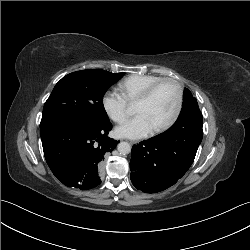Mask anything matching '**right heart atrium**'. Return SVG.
<instances>
[{"instance_id": "right-heart-atrium-1", "label": "right heart atrium", "mask_w": 250, "mask_h": 250, "mask_svg": "<svg viewBox=\"0 0 250 250\" xmlns=\"http://www.w3.org/2000/svg\"><path fill=\"white\" fill-rule=\"evenodd\" d=\"M102 106L107 116L114 122L120 123L128 115V102L117 90H108L104 93Z\"/></svg>"}]
</instances>
